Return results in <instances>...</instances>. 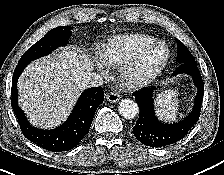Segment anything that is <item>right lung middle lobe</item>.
Segmentation results:
<instances>
[{"instance_id": "1", "label": "right lung middle lobe", "mask_w": 224, "mask_h": 175, "mask_svg": "<svg viewBox=\"0 0 224 175\" xmlns=\"http://www.w3.org/2000/svg\"><path fill=\"white\" fill-rule=\"evenodd\" d=\"M71 29L72 27L60 26L50 30L41 40L27 50L18 64L30 63L35 59L50 54L57 47L68 44Z\"/></svg>"}]
</instances>
